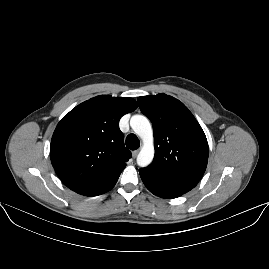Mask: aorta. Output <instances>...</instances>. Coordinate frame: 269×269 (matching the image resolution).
Segmentation results:
<instances>
[{
    "label": "aorta",
    "mask_w": 269,
    "mask_h": 269,
    "mask_svg": "<svg viewBox=\"0 0 269 269\" xmlns=\"http://www.w3.org/2000/svg\"><path fill=\"white\" fill-rule=\"evenodd\" d=\"M133 131L142 141L140 151L137 155V162L140 166H147L153 159L154 133L150 121L142 115H135L130 120Z\"/></svg>",
    "instance_id": "obj_1"
}]
</instances>
